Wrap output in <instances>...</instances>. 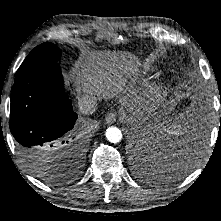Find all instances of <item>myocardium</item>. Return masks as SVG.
I'll return each mask as SVG.
<instances>
[{
    "label": "myocardium",
    "instance_id": "myocardium-1",
    "mask_svg": "<svg viewBox=\"0 0 221 221\" xmlns=\"http://www.w3.org/2000/svg\"><path fill=\"white\" fill-rule=\"evenodd\" d=\"M167 92V86L165 84H158L154 90L149 93L147 97V103L149 104H155L159 102L166 94Z\"/></svg>",
    "mask_w": 221,
    "mask_h": 221
}]
</instances>
